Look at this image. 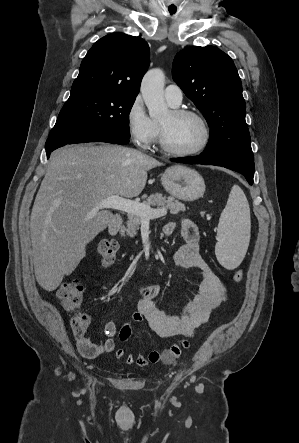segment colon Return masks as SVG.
Wrapping results in <instances>:
<instances>
[{"instance_id": "1", "label": "colon", "mask_w": 299, "mask_h": 443, "mask_svg": "<svg viewBox=\"0 0 299 443\" xmlns=\"http://www.w3.org/2000/svg\"><path fill=\"white\" fill-rule=\"evenodd\" d=\"M117 243L114 240H101L96 247V254L100 259L102 267L107 268L114 264L117 254ZM244 278L241 269H237L233 273V280L240 282ZM84 286L78 279L66 281L60 285L56 292V297L64 310L68 312H76L81 305ZM91 324V317L88 314H75L70 320L73 333L76 336L85 335ZM166 359H170L169 353Z\"/></svg>"}]
</instances>
